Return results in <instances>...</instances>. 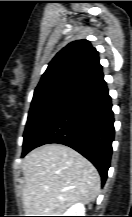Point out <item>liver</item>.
<instances>
[{"instance_id":"6515ba94","label":"liver","mask_w":132,"mask_h":217,"mask_svg":"<svg viewBox=\"0 0 132 217\" xmlns=\"http://www.w3.org/2000/svg\"><path fill=\"white\" fill-rule=\"evenodd\" d=\"M26 216H61L76 203L88 204L100 192L97 169L77 151L62 144L41 146L22 163Z\"/></svg>"}]
</instances>
